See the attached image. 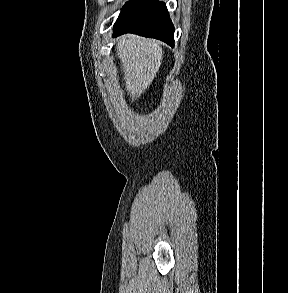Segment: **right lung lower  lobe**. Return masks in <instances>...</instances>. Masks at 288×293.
Segmentation results:
<instances>
[{"label":"right lung lower lobe","mask_w":288,"mask_h":293,"mask_svg":"<svg viewBox=\"0 0 288 293\" xmlns=\"http://www.w3.org/2000/svg\"><path fill=\"white\" fill-rule=\"evenodd\" d=\"M125 33L156 38L174 46V27L166 5L157 0H132L122 9L113 37Z\"/></svg>","instance_id":"obj_1"}]
</instances>
